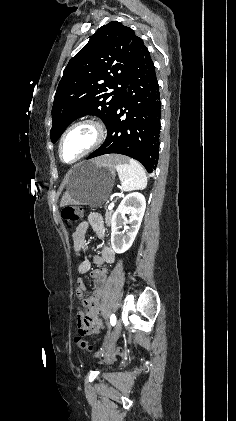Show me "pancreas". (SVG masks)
Returning <instances> with one entry per match:
<instances>
[{
  "instance_id": "pancreas-1",
  "label": "pancreas",
  "mask_w": 236,
  "mask_h": 421,
  "mask_svg": "<svg viewBox=\"0 0 236 421\" xmlns=\"http://www.w3.org/2000/svg\"><path fill=\"white\" fill-rule=\"evenodd\" d=\"M112 213H113V211H107V213L105 215V223H107V225H109V223L111 221Z\"/></svg>"
}]
</instances>
